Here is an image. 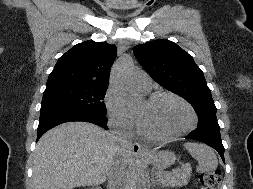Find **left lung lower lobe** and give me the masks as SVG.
<instances>
[{
    "label": "left lung lower lobe",
    "mask_w": 253,
    "mask_h": 189,
    "mask_svg": "<svg viewBox=\"0 0 253 189\" xmlns=\"http://www.w3.org/2000/svg\"><path fill=\"white\" fill-rule=\"evenodd\" d=\"M186 138L201 141L212 146L214 149L217 150L222 160L225 162L224 147L220 136V127H213V126L197 127V129L192 131L188 136H186Z\"/></svg>",
    "instance_id": "left-lung-lower-lobe-1"
}]
</instances>
